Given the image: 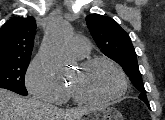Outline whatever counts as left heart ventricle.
<instances>
[{"label":"left heart ventricle","instance_id":"obj_1","mask_svg":"<svg viewBox=\"0 0 165 120\" xmlns=\"http://www.w3.org/2000/svg\"><path fill=\"white\" fill-rule=\"evenodd\" d=\"M70 85L76 86L90 98L101 99L116 94L120 90L121 79L113 67L99 64L87 71L79 68Z\"/></svg>","mask_w":165,"mask_h":120}]
</instances>
